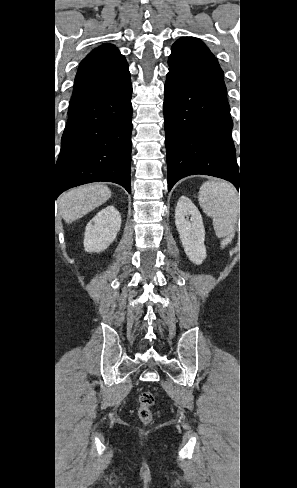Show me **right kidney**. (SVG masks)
Masks as SVG:
<instances>
[{
  "instance_id": "right-kidney-1",
  "label": "right kidney",
  "mask_w": 297,
  "mask_h": 488,
  "mask_svg": "<svg viewBox=\"0 0 297 488\" xmlns=\"http://www.w3.org/2000/svg\"><path fill=\"white\" fill-rule=\"evenodd\" d=\"M121 226V215L113 206L98 212L87 224L84 248L87 252H103L115 240Z\"/></svg>"
}]
</instances>
